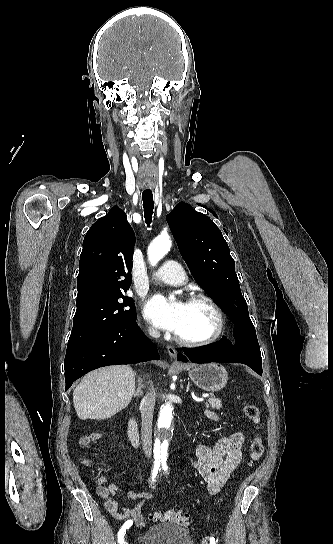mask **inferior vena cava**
Listing matches in <instances>:
<instances>
[{
    "instance_id": "inferior-vena-cava-1",
    "label": "inferior vena cava",
    "mask_w": 333,
    "mask_h": 544,
    "mask_svg": "<svg viewBox=\"0 0 333 544\" xmlns=\"http://www.w3.org/2000/svg\"><path fill=\"white\" fill-rule=\"evenodd\" d=\"M150 335L157 338L159 333L154 329L150 330ZM155 406V397L153 392H148L141 401V440L142 447L146 457L150 458L152 454V420Z\"/></svg>"
}]
</instances>
